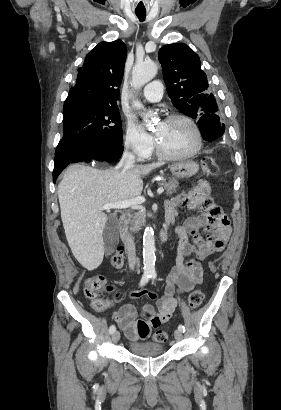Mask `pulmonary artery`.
<instances>
[{"label": "pulmonary artery", "instance_id": "obj_1", "mask_svg": "<svg viewBox=\"0 0 281 410\" xmlns=\"http://www.w3.org/2000/svg\"><path fill=\"white\" fill-rule=\"evenodd\" d=\"M163 94V85L160 81H152L147 84L142 92L143 98L148 102H158Z\"/></svg>", "mask_w": 281, "mask_h": 410}]
</instances>
